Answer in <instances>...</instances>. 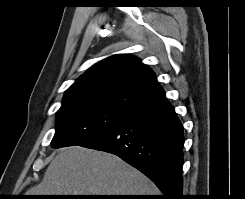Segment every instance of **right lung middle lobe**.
I'll return each instance as SVG.
<instances>
[{"label": "right lung middle lobe", "instance_id": "dd1d6c3e", "mask_svg": "<svg viewBox=\"0 0 245 199\" xmlns=\"http://www.w3.org/2000/svg\"><path fill=\"white\" fill-rule=\"evenodd\" d=\"M128 114L97 105H78L57 111L54 148L82 145L121 122Z\"/></svg>", "mask_w": 245, "mask_h": 199}]
</instances>
